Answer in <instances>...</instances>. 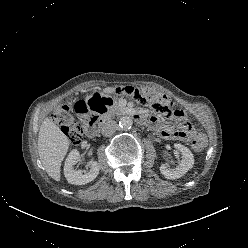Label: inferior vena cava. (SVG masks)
I'll return each mask as SVG.
<instances>
[{
  "label": "inferior vena cava",
  "instance_id": "obj_1",
  "mask_svg": "<svg viewBox=\"0 0 248 248\" xmlns=\"http://www.w3.org/2000/svg\"><path fill=\"white\" fill-rule=\"evenodd\" d=\"M116 128L117 123L113 120H109L102 125L101 133L103 136H110L116 131Z\"/></svg>",
  "mask_w": 248,
  "mask_h": 248
}]
</instances>
